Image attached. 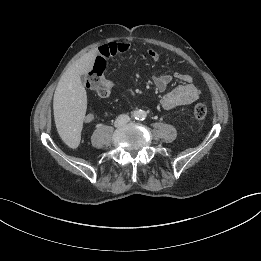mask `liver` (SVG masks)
Wrapping results in <instances>:
<instances>
[{
  "label": "liver",
  "mask_w": 261,
  "mask_h": 261,
  "mask_svg": "<svg viewBox=\"0 0 261 261\" xmlns=\"http://www.w3.org/2000/svg\"><path fill=\"white\" fill-rule=\"evenodd\" d=\"M97 52L90 51L79 58L63 73L53 98L55 124L63 139L80 131L87 109V94L81 75L94 65Z\"/></svg>",
  "instance_id": "6515ba94"
}]
</instances>
